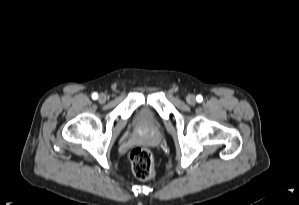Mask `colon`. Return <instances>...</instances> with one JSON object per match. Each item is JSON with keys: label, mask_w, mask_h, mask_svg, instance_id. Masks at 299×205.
<instances>
[{"label": "colon", "mask_w": 299, "mask_h": 205, "mask_svg": "<svg viewBox=\"0 0 299 205\" xmlns=\"http://www.w3.org/2000/svg\"><path fill=\"white\" fill-rule=\"evenodd\" d=\"M130 162L137 178L149 180L155 176L152 154L148 149L135 148L130 154Z\"/></svg>", "instance_id": "colon-1"}]
</instances>
